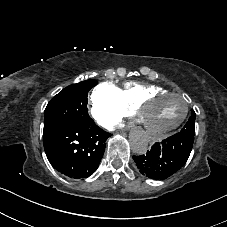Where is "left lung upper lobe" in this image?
<instances>
[{
	"label": "left lung upper lobe",
	"instance_id": "left-lung-upper-lobe-1",
	"mask_svg": "<svg viewBox=\"0 0 227 227\" xmlns=\"http://www.w3.org/2000/svg\"><path fill=\"white\" fill-rule=\"evenodd\" d=\"M195 117H196L195 112L192 110V115L189 117L188 122L179 132L180 134L192 135V136L195 135Z\"/></svg>",
	"mask_w": 227,
	"mask_h": 227
}]
</instances>
